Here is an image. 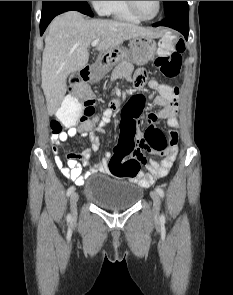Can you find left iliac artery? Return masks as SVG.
<instances>
[{
  "label": "left iliac artery",
  "mask_w": 233,
  "mask_h": 295,
  "mask_svg": "<svg viewBox=\"0 0 233 295\" xmlns=\"http://www.w3.org/2000/svg\"><path fill=\"white\" fill-rule=\"evenodd\" d=\"M156 192L160 195L161 198L164 197V191H163V189L161 187H159V186L156 187ZM160 219L162 221H164L165 220V216L162 214L161 217H160Z\"/></svg>",
  "instance_id": "1"
}]
</instances>
